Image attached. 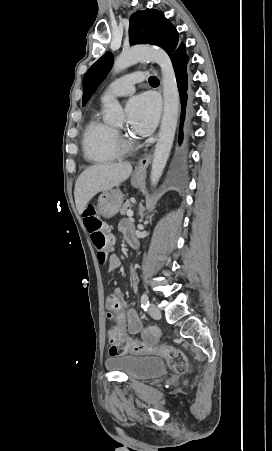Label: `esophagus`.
Wrapping results in <instances>:
<instances>
[{
    "label": "esophagus",
    "instance_id": "obj_1",
    "mask_svg": "<svg viewBox=\"0 0 272 451\" xmlns=\"http://www.w3.org/2000/svg\"><path fill=\"white\" fill-rule=\"evenodd\" d=\"M151 159H152V155H150V154L144 156L143 158H141V159L138 161V164H137V166L135 167V170H136L139 174L145 175V174H146V169H147L148 165L150 164Z\"/></svg>",
    "mask_w": 272,
    "mask_h": 451
}]
</instances>
